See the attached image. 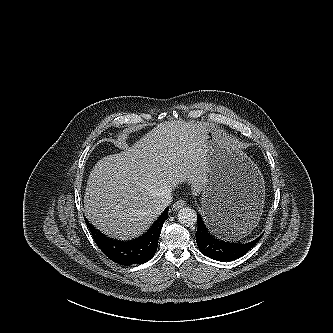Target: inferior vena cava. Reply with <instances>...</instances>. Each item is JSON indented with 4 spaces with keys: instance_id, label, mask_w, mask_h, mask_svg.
Wrapping results in <instances>:
<instances>
[{
    "instance_id": "obj_1",
    "label": "inferior vena cava",
    "mask_w": 333,
    "mask_h": 333,
    "mask_svg": "<svg viewBox=\"0 0 333 333\" xmlns=\"http://www.w3.org/2000/svg\"><path fill=\"white\" fill-rule=\"evenodd\" d=\"M172 202L171 192H165L158 201L157 209L163 210Z\"/></svg>"
}]
</instances>
